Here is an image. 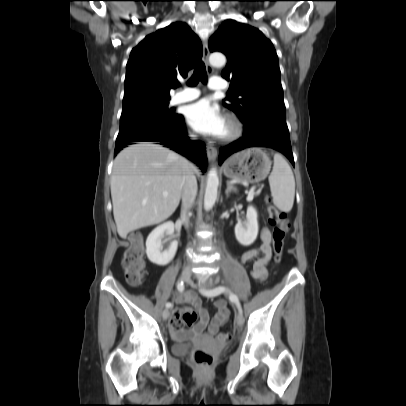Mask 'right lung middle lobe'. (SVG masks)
I'll return each instance as SVG.
<instances>
[{"instance_id":"dd1d6c3e","label":"right lung middle lobe","mask_w":406,"mask_h":406,"mask_svg":"<svg viewBox=\"0 0 406 406\" xmlns=\"http://www.w3.org/2000/svg\"><path fill=\"white\" fill-rule=\"evenodd\" d=\"M169 99L143 100L123 106L120 131L117 138L155 131L170 126L178 118L174 108H168Z\"/></svg>"}]
</instances>
